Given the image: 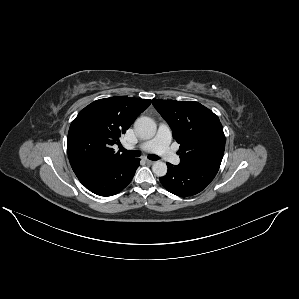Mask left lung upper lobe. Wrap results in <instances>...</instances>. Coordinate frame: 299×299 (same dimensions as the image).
<instances>
[{"instance_id":"1","label":"left lung upper lobe","mask_w":299,"mask_h":299,"mask_svg":"<svg viewBox=\"0 0 299 299\" xmlns=\"http://www.w3.org/2000/svg\"><path fill=\"white\" fill-rule=\"evenodd\" d=\"M152 104L168 122L174 139L180 144V163L221 164L225 135L216 114L193 101L154 99Z\"/></svg>"}]
</instances>
